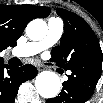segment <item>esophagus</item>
<instances>
[{"label": "esophagus", "instance_id": "34e87169", "mask_svg": "<svg viewBox=\"0 0 103 103\" xmlns=\"http://www.w3.org/2000/svg\"><path fill=\"white\" fill-rule=\"evenodd\" d=\"M35 66H36L38 71H42L43 70V66L42 65L37 64Z\"/></svg>", "mask_w": 103, "mask_h": 103}]
</instances>
